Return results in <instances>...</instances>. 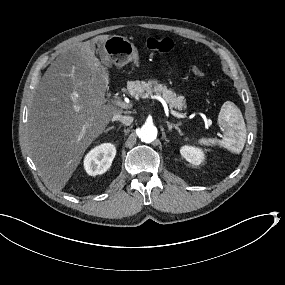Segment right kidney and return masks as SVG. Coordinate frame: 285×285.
I'll return each mask as SVG.
<instances>
[{
	"instance_id": "right-kidney-1",
	"label": "right kidney",
	"mask_w": 285,
	"mask_h": 285,
	"mask_svg": "<svg viewBox=\"0 0 285 285\" xmlns=\"http://www.w3.org/2000/svg\"><path fill=\"white\" fill-rule=\"evenodd\" d=\"M116 155V147L103 143L91 149L84 158V169L87 174L96 176L105 173Z\"/></svg>"
}]
</instances>
